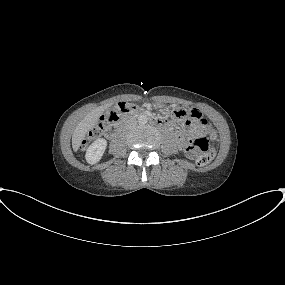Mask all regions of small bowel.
<instances>
[{
    "label": "small bowel",
    "mask_w": 285,
    "mask_h": 285,
    "mask_svg": "<svg viewBox=\"0 0 285 285\" xmlns=\"http://www.w3.org/2000/svg\"><path fill=\"white\" fill-rule=\"evenodd\" d=\"M191 114H192L191 121L184 123L183 126H204L205 125V121L200 111L193 109L191 110ZM176 139H177L179 148L182 150H185L186 149V138H185L184 132L183 131L178 132L176 134ZM187 154L191 158L196 156L193 153H187Z\"/></svg>",
    "instance_id": "small-bowel-1"
}]
</instances>
